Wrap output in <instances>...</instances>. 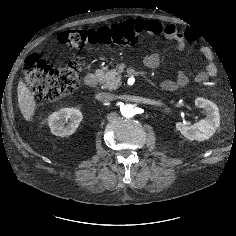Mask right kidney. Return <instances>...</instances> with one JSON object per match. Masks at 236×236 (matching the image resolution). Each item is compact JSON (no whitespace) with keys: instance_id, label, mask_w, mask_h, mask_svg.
<instances>
[{"instance_id":"obj_1","label":"right kidney","mask_w":236,"mask_h":236,"mask_svg":"<svg viewBox=\"0 0 236 236\" xmlns=\"http://www.w3.org/2000/svg\"><path fill=\"white\" fill-rule=\"evenodd\" d=\"M82 118L80 110L76 108H63L49 116L48 125L52 134L64 137L75 132Z\"/></svg>"}]
</instances>
